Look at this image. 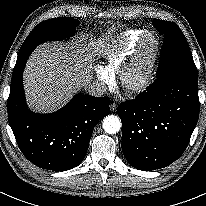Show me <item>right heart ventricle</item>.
<instances>
[{"instance_id": "e07e8e85", "label": "right heart ventricle", "mask_w": 206, "mask_h": 206, "mask_svg": "<svg viewBox=\"0 0 206 206\" xmlns=\"http://www.w3.org/2000/svg\"><path fill=\"white\" fill-rule=\"evenodd\" d=\"M145 33L141 29H132L123 32L116 43L108 50L103 62L102 69L114 76L123 63L130 57L142 35Z\"/></svg>"}]
</instances>
